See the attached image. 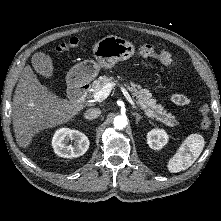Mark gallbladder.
<instances>
[{
    "label": "gallbladder",
    "instance_id": "1",
    "mask_svg": "<svg viewBox=\"0 0 221 221\" xmlns=\"http://www.w3.org/2000/svg\"><path fill=\"white\" fill-rule=\"evenodd\" d=\"M33 64L38 74L44 75L46 78H51L53 76V60L49 57L47 52H36L33 57Z\"/></svg>",
    "mask_w": 221,
    "mask_h": 221
}]
</instances>
